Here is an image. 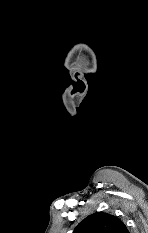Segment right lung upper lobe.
<instances>
[{
  "label": "right lung upper lobe",
  "instance_id": "obj_1",
  "mask_svg": "<svg viewBox=\"0 0 148 233\" xmlns=\"http://www.w3.org/2000/svg\"><path fill=\"white\" fill-rule=\"evenodd\" d=\"M73 233H129V231L115 216L97 212L80 222Z\"/></svg>",
  "mask_w": 148,
  "mask_h": 233
}]
</instances>
